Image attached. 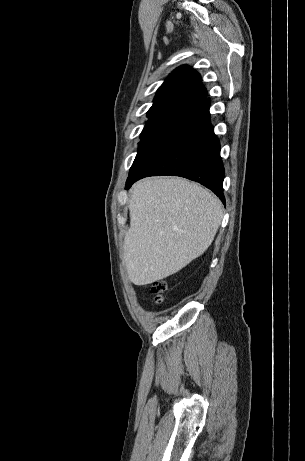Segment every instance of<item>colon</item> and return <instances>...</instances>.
I'll return each mask as SVG.
<instances>
[{
	"mask_svg": "<svg viewBox=\"0 0 305 461\" xmlns=\"http://www.w3.org/2000/svg\"><path fill=\"white\" fill-rule=\"evenodd\" d=\"M167 289V285L162 280L154 281L151 284V292L155 296V301L157 303H162L164 300V292Z\"/></svg>",
	"mask_w": 305,
	"mask_h": 461,
	"instance_id": "5ec220e1",
	"label": "colon"
}]
</instances>
